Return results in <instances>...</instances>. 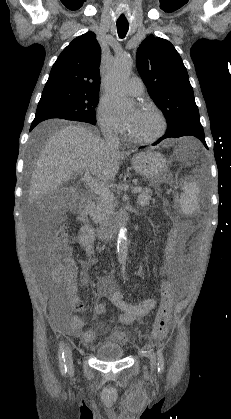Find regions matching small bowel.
Masks as SVG:
<instances>
[{
    "label": "small bowel",
    "instance_id": "c3829d8e",
    "mask_svg": "<svg viewBox=\"0 0 231 419\" xmlns=\"http://www.w3.org/2000/svg\"><path fill=\"white\" fill-rule=\"evenodd\" d=\"M78 241L85 251L86 259L81 263L80 279L83 283H87V272L89 267L95 262L94 253V238L93 230L89 226H83L80 230ZM174 259L168 261L165 256V266L163 273L169 272L172 267ZM70 293L73 308L76 311H81L84 308L82 301L76 295L75 284L68 288ZM97 292L99 298L109 299L119 310L118 323L120 325H128L135 321L141 320L144 316L149 314L157 305V299H146L142 301H132L125 298L117 289L116 285L107 278H101L97 282ZM172 301V299H171ZM103 306L97 304V308ZM98 314V313H97ZM84 320L78 316H72L68 321L62 323L63 330L71 336L81 339L85 343H91L94 340V332L91 330L84 331ZM121 331H116L114 337L121 339L118 336ZM124 334V333H123Z\"/></svg>",
    "mask_w": 231,
    "mask_h": 419
}]
</instances>
